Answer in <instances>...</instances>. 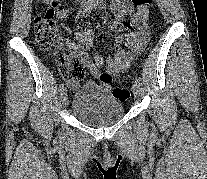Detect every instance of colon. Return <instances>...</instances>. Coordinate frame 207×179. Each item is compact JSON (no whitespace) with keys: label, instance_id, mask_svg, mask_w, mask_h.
<instances>
[{"label":"colon","instance_id":"1","mask_svg":"<svg viewBox=\"0 0 207 179\" xmlns=\"http://www.w3.org/2000/svg\"><path fill=\"white\" fill-rule=\"evenodd\" d=\"M46 6L42 13L37 15L34 20V33L38 44L48 49L52 46L55 35L56 26L53 20L54 15L62 9L61 0H45ZM151 0H132L136 10L149 5ZM61 77L72 84H77L83 80L85 71L76 54L71 50H65L61 59L60 67ZM101 82L103 84H111L113 78L108 75H103ZM114 95L126 101L130 97V89L126 87H116L112 90Z\"/></svg>","mask_w":207,"mask_h":179}]
</instances>
